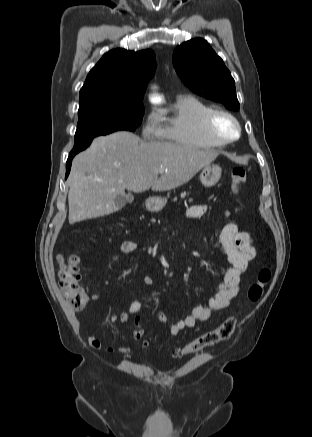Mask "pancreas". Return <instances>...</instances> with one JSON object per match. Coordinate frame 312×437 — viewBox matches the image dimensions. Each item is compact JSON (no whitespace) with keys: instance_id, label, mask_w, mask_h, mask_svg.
Here are the masks:
<instances>
[{"instance_id":"pancreas-1","label":"pancreas","mask_w":312,"mask_h":437,"mask_svg":"<svg viewBox=\"0 0 312 437\" xmlns=\"http://www.w3.org/2000/svg\"><path fill=\"white\" fill-rule=\"evenodd\" d=\"M186 194L184 193V194H182V198L185 196ZM174 200H176V198L174 199Z\"/></svg>"}]
</instances>
